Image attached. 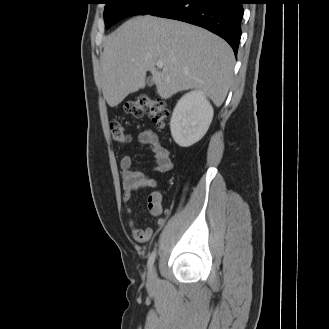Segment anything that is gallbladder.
Wrapping results in <instances>:
<instances>
[{"label":"gallbladder","instance_id":"obj_1","mask_svg":"<svg viewBox=\"0 0 329 329\" xmlns=\"http://www.w3.org/2000/svg\"><path fill=\"white\" fill-rule=\"evenodd\" d=\"M153 84H154L153 78H152V77H149V78L147 79V85H148L149 87H151Z\"/></svg>","mask_w":329,"mask_h":329}]
</instances>
